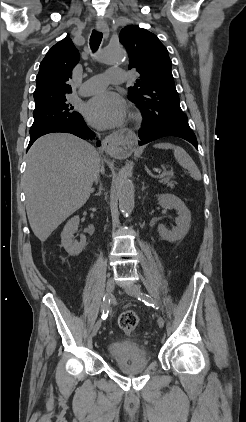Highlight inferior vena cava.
<instances>
[{
  "mask_svg": "<svg viewBox=\"0 0 246 422\" xmlns=\"http://www.w3.org/2000/svg\"><path fill=\"white\" fill-rule=\"evenodd\" d=\"M97 157H98V160L100 161V158H99V155L97 154ZM102 171V168L100 169V165H98L97 167H96V169H95V172H94V180L97 182V180H98V176H99V173Z\"/></svg>",
  "mask_w": 246,
  "mask_h": 422,
  "instance_id": "obj_1",
  "label": "inferior vena cava"
}]
</instances>
